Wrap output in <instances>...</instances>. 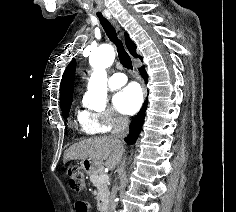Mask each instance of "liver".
<instances>
[{
  "label": "liver",
  "instance_id": "6515ba94",
  "mask_svg": "<svg viewBox=\"0 0 236 212\" xmlns=\"http://www.w3.org/2000/svg\"><path fill=\"white\" fill-rule=\"evenodd\" d=\"M123 153V143L110 136L85 139L69 147L63 156V163L69 160L95 161L101 165L106 160V167L114 169Z\"/></svg>",
  "mask_w": 236,
  "mask_h": 212
}]
</instances>
